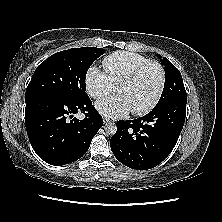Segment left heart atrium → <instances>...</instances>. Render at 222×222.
<instances>
[{
  "instance_id": "39dd6f15",
  "label": "left heart atrium",
  "mask_w": 222,
  "mask_h": 222,
  "mask_svg": "<svg viewBox=\"0 0 222 222\" xmlns=\"http://www.w3.org/2000/svg\"><path fill=\"white\" fill-rule=\"evenodd\" d=\"M96 108L108 118H119L131 111L126 98L120 93L97 102Z\"/></svg>"
}]
</instances>
